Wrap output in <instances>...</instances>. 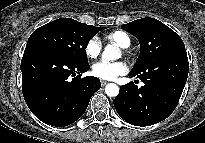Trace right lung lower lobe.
Here are the masks:
<instances>
[{
	"instance_id": "right-lung-lower-lobe-1",
	"label": "right lung lower lobe",
	"mask_w": 205,
	"mask_h": 143,
	"mask_svg": "<svg viewBox=\"0 0 205 143\" xmlns=\"http://www.w3.org/2000/svg\"><path fill=\"white\" fill-rule=\"evenodd\" d=\"M20 68L22 92L29 109L40 121L56 127L79 119L101 87L96 77L81 78L89 64L73 63L37 43L26 45Z\"/></svg>"
}]
</instances>
